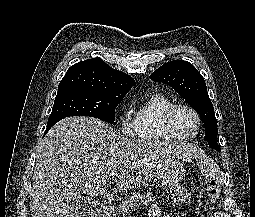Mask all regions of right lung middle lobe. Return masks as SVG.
Segmentation results:
<instances>
[{
  "label": "right lung middle lobe",
  "mask_w": 255,
  "mask_h": 217,
  "mask_svg": "<svg viewBox=\"0 0 255 217\" xmlns=\"http://www.w3.org/2000/svg\"><path fill=\"white\" fill-rule=\"evenodd\" d=\"M125 93L100 92L84 88L58 90L48 123L69 116H90L105 122L115 121V108Z\"/></svg>",
  "instance_id": "1"
}]
</instances>
